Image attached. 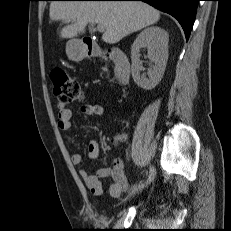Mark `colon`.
Returning a JSON list of instances; mask_svg holds the SVG:
<instances>
[{
    "mask_svg": "<svg viewBox=\"0 0 231 231\" xmlns=\"http://www.w3.org/2000/svg\"><path fill=\"white\" fill-rule=\"evenodd\" d=\"M51 80L54 95L61 105L74 103L83 98L81 86L64 69H53Z\"/></svg>",
    "mask_w": 231,
    "mask_h": 231,
    "instance_id": "1",
    "label": "colon"
}]
</instances>
